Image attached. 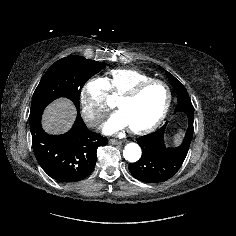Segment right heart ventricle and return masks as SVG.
<instances>
[{
    "label": "right heart ventricle",
    "instance_id": "e07e8e85",
    "mask_svg": "<svg viewBox=\"0 0 236 236\" xmlns=\"http://www.w3.org/2000/svg\"><path fill=\"white\" fill-rule=\"evenodd\" d=\"M153 79L151 76L136 69L118 68L111 70L102 80L106 86V92L120 97L136 85Z\"/></svg>",
    "mask_w": 236,
    "mask_h": 236
}]
</instances>
